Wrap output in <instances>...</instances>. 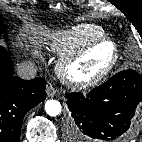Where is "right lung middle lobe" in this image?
<instances>
[{
    "mask_svg": "<svg viewBox=\"0 0 142 142\" xmlns=\"http://www.w3.org/2000/svg\"><path fill=\"white\" fill-rule=\"evenodd\" d=\"M2 19L0 18V36H1V34H2ZM1 47V46H0Z\"/></svg>",
    "mask_w": 142,
    "mask_h": 142,
    "instance_id": "obj_1",
    "label": "right lung middle lobe"
}]
</instances>
